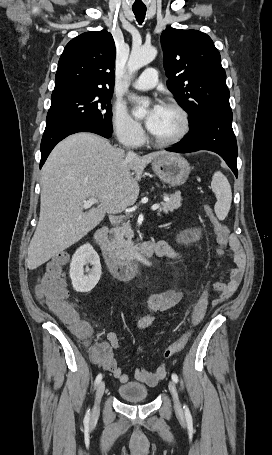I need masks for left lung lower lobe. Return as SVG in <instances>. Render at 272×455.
<instances>
[{
    "label": "left lung lower lobe",
    "mask_w": 272,
    "mask_h": 455,
    "mask_svg": "<svg viewBox=\"0 0 272 455\" xmlns=\"http://www.w3.org/2000/svg\"><path fill=\"white\" fill-rule=\"evenodd\" d=\"M189 133L167 151L177 153L209 150L219 154L235 176L237 170V142L232 129V112L215 113L189 125Z\"/></svg>",
    "instance_id": "1"
}]
</instances>
